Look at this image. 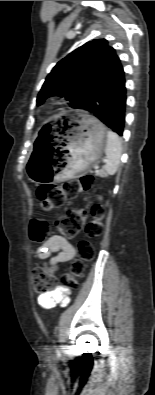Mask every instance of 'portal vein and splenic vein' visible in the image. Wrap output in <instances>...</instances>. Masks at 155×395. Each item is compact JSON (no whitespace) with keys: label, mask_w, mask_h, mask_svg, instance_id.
<instances>
[{"label":"portal vein and splenic vein","mask_w":155,"mask_h":395,"mask_svg":"<svg viewBox=\"0 0 155 395\" xmlns=\"http://www.w3.org/2000/svg\"><path fill=\"white\" fill-rule=\"evenodd\" d=\"M107 160H104L103 163H106Z\"/></svg>","instance_id":"1"}]
</instances>
